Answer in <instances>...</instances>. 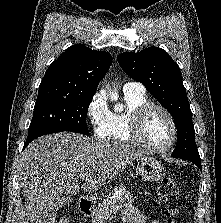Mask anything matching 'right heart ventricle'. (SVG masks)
Masks as SVG:
<instances>
[{"label":"right heart ventricle","mask_w":221,"mask_h":223,"mask_svg":"<svg viewBox=\"0 0 221 223\" xmlns=\"http://www.w3.org/2000/svg\"><path fill=\"white\" fill-rule=\"evenodd\" d=\"M124 99L127 108L124 112H114L110 115V131L108 138L118 143H130L132 141L128 127L131 122L133 112L150 103L147 94L144 92H124Z\"/></svg>","instance_id":"right-heart-ventricle-1"}]
</instances>
